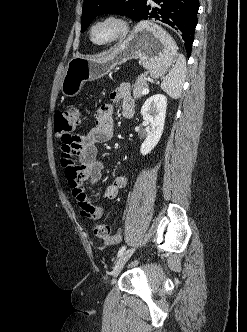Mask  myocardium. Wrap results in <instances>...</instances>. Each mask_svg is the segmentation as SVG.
<instances>
[{
  "instance_id": "f54148a6",
  "label": "myocardium",
  "mask_w": 247,
  "mask_h": 332,
  "mask_svg": "<svg viewBox=\"0 0 247 332\" xmlns=\"http://www.w3.org/2000/svg\"><path fill=\"white\" fill-rule=\"evenodd\" d=\"M108 22L113 23L117 26L118 31H117L116 35L114 37H112L111 39L103 41V42L95 41L93 38L94 29L98 25L103 24V23H108ZM129 29H130L129 22L127 21L126 18H124L120 15H117V14H109V15H105V16L98 18L91 24V26L89 27L88 36H89L90 41L94 45L109 46V45L115 44V43L121 41L123 38H125L129 32Z\"/></svg>"
}]
</instances>
